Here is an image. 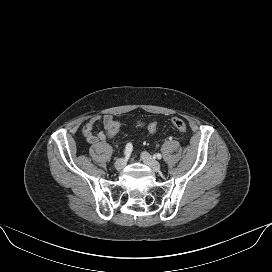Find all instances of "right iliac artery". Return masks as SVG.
Wrapping results in <instances>:
<instances>
[{
  "instance_id": "82829eb1",
  "label": "right iliac artery",
  "mask_w": 272,
  "mask_h": 272,
  "mask_svg": "<svg viewBox=\"0 0 272 272\" xmlns=\"http://www.w3.org/2000/svg\"><path fill=\"white\" fill-rule=\"evenodd\" d=\"M132 148H133V146H132L131 143H128V144L126 145V148H125V151H124V155H125L126 157H128V156L131 154Z\"/></svg>"
}]
</instances>
